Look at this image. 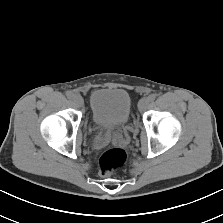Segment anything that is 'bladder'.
Here are the masks:
<instances>
[{
  "mask_svg": "<svg viewBox=\"0 0 223 223\" xmlns=\"http://www.w3.org/2000/svg\"><path fill=\"white\" fill-rule=\"evenodd\" d=\"M89 103L92 119L99 128L113 130L129 120L132 99L124 89H96L91 93Z\"/></svg>",
  "mask_w": 223,
  "mask_h": 223,
  "instance_id": "1",
  "label": "bladder"
}]
</instances>
